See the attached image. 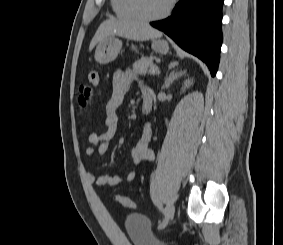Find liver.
Returning <instances> with one entry per match:
<instances>
[{
	"instance_id": "obj_1",
	"label": "liver",
	"mask_w": 283,
	"mask_h": 245,
	"mask_svg": "<svg viewBox=\"0 0 283 245\" xmlns=\"http://www.w3.org/2000/svg\"><path fill=\"white\" fill-rule=\"evenodd\" d=\"M110 36L125 37L134 41H145L161 37L162 33L146 23L111 18L99 26L91 40L89 51L100 41Z\"/></svg>"
}]
</instances>
